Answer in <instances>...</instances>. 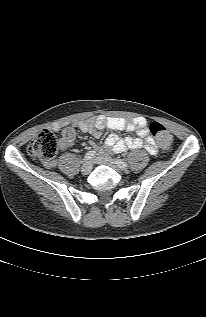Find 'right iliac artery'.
Returning <instances> with one entry per match:
<instances>
[{"label":"right iliac artery","instance_id":"right-iliac-artery-1","mask_svg":"<svg viewBox=\"0 0 206 317\" xmlns=\"http://www.w3.org/2000/svg\"><path fill=\"white\" fill-rule=\"evenodd\" d=\"M96 155H97V154H96L95 151H88V152L85 154V156H84V160L90 161V160H92L93 158H95Z\"/></svg>","mask_w":206,"mask_h":317}]
</instances>
